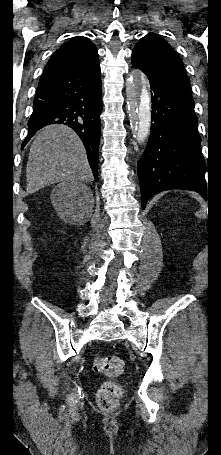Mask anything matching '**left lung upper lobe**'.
Returning a JSON list of instances; mask_svg holds the SVG:
<instances>
[{
    "mask_svg": "<svg viewBox=\"0 0 221 455\" xmlns=\"http://www.w3.org/2000/svg\"><path fill=\"white\" fill-rule=\"evenodd\" d=\"M132 66L192 98L182 60L157 34L149 33L136 44L132 52Z\"/></svg>",
    "mask_w": 221,
    "mask_h": 455,
    "instance_id": "5c2ea615",
    "label": "left lung upper lobe"
}]
</instances>
